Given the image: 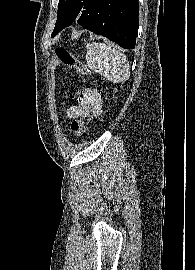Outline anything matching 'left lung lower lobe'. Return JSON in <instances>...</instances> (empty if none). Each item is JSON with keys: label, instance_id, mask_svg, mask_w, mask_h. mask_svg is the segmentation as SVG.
<instances>
[{"label": "left lung lower lobe", "instance_id": "obj_1", "mask_svg": "<svg viewBox=\"0 0 195 270\" xmlns=\"http://www.w3.org/2000/svg\"><path fill=\"white\" fill-rule=\"evenodd\" d=\"M138 11V0H86L78 23L125 49H131L136 44Z\"/></svg>", "mask_w": 195, "mask_h": 270}]
</instances>
